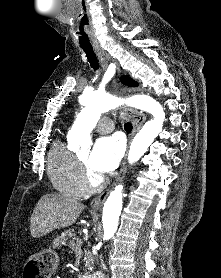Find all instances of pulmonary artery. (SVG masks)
<instances>
[{"instance_id":"obj_1","label":"pulmonary artery","mask_w":221,"mask_h":278,"mask_svg":"<svg viewBox=\"0 0 221 278\" xmlns=\"http://www.w3.org/2000/svg\"><path fill=\"white\" fill-rule=\"evenodd\" d=\"M114 125L111 119L109 118H103L99 121L97 125V131L99 133H107L112 131Z\"/></svg>"}]
</instances>
